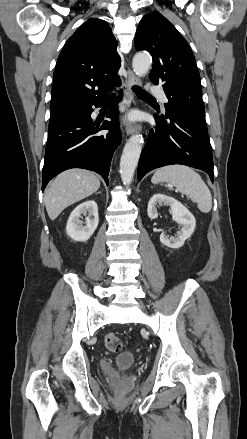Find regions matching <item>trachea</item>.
I'll list each match as a JSON object with an SVG mask.
<instances>
[{
	"label": "trachea",
	"instance_id": "obj_1",
	"mask_svg": "<svg viewBox=\"0 0 247 439\" xmlns=\"http://www.w3.org/2000/svg\"><path fill=\"white\" fill-rule=\"evenodd\" d=\"M132 90L137 94V96L139 97H144V98H151L153 99V97L148 94L146 91H144L141 87L135 85L132 87Z\"/></svg>",
	"mask_w": 247,
	"mask_h": 439
}]
</instances>
